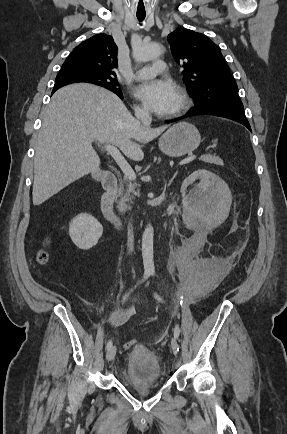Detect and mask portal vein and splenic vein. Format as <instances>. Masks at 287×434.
<instances>
[{
    "instance_id": "obj_1",
    "label": "portal vein and splenic vein",
    "mask_w": 287,
    "mask_h": 434,
    "mask_svg": "<svg viewBox=\"0 0 287 434\" xmlns=\"http://www.w3.org/2000/svg\"><path fill=\"white\" fill-rule=\"evenodd\" d=\"M103 149L105 151H107V153L112 156V158L115 160V162L118 164V166L120 167V169L124 173L125 178H127L129 180H135V178H136L135 172L133 171L131 166L127 163V161L125 160V158L123 157V155L120 153V151L118 150V148L116 146L105 143L103 145ZM195 158H196V155H190L187 158L180 161L179 165H185V164L191 162L192 160H194Z\"/></svg>"
}]
</instances>
